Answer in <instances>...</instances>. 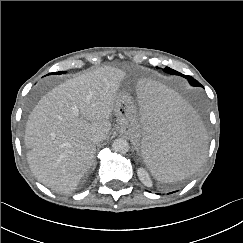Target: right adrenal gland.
I'll use <instances>...</instances> for the list:
<instances>
[{
  "label": "right adrenal gland",
  "mask_w": 243,
  "mask_h": 243,
  "mask_svg": "<svg viewBox=\"0 0 243 243\" xmlns=\"http://www.w3.org/2000/svg\"><path fill=\"white\" fill-rule=\"evenodd\" d=\"M95 165H96V164L94 163V164H93V167H92V171L95 169Z\"/></svg>",
  "instance_id": "obj_1"
}]
</instances>
